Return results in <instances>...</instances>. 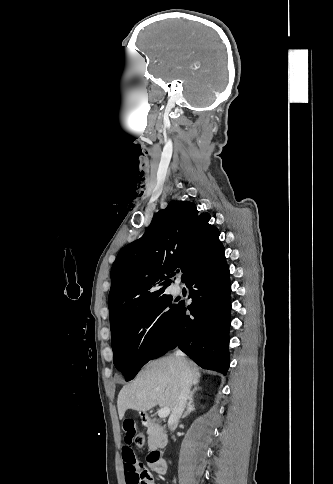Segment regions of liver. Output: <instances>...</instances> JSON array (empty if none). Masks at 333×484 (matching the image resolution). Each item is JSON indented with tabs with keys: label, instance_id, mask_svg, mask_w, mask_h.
Wrapping results in <instances>:
<instances>
[{
	"label": "liver",
	"instance_id": "6515ba94",
	"mask_svg": "<svg viewBox=\"0 0 333 484\" xmlns=\"http://www.w3.org/2000/svg\"><path fill=\"white\" fill-rule=\"evenodd\" d=\"M192 381L199 383L200 373L195 363L189 361ZM181 390V369L174 356H166L149 362L136 378L125 385L117 400L119 418L126 410L147 412L156 405L173 409Z\"/></svg>",
	"mask_w": 333,
	"mask_h": 484
}]
</instances>
